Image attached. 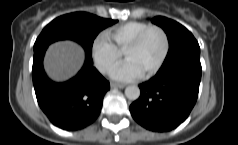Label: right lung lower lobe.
<instances>
[{
  "mask_svg": "<svg viewBox=\"0 0 238 145\" xmlns=\"http://www.w3.org/2000/svg\"><path fill=\"white\" fill-rule=\"evenodd\" d=\"M48 46L34 50L32 77L42 111L55 126L76 131L93 123L100 114L109 82L93 67L91 55L80 72L64 83H55L45 74L43 58Z\"/></svg>",
  "mask_w": 238,
  "mask_h": 145,
  "instance_id": "98d812e1",
  "label": "right lung lower lobe"
}]
</instances>
